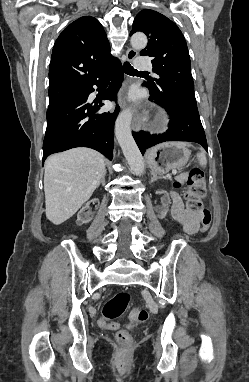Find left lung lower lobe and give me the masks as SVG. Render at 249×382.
Listing matches in <instances>:
<instances>
[{
    "label": "left lung lower lobe",
    "instance_id": "obj_1",
    "mask_svg": "<svg viewBox=\"0 0 249 382\" xmlns=\"http://www.w3.org/2000/svg\"><path fill=\"white\" fill-rule=\"evenodd\" d=\"M150 98L166 109L170 115V123L168 130L164 134L150 135L144 131L133 133L142 154H144L145 149L166 141L196 142L208 151L197 108L187 105H167L159 101L153 94H150Z\"/></svg>",
    "mask_w": 249,
    "mask_h": 382
}]
</instances>
